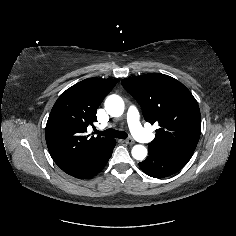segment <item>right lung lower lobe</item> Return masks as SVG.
Wrapping results in <instances>:
<instances>
[{
	"mask_svg": "<svg viewBox=\"0 0 236 236\" xmlns=\"http://www.w3.org/2000/svg\"><path fill=\"white\" fill-rule=\"evenodd\" d=\"M115 145L116 140L111 139L107 146L99 151L90 163L82 171L73 175V177L78 179H89L99 173L111 157Z\"/></svg>",
	"mask_w": 236,
	"mask_h": 236,
	"instance_id": "1",
	"label": "right lung lower lobe"
}]
</instances>
